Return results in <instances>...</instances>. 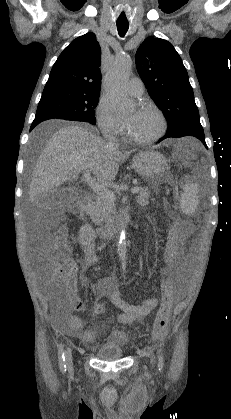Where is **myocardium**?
I'll return each instance as SVG.
<instances>
[{
  "mask_svg": "<svg viewBox=\"0 0 231 419\" xmlns=\"http://www.w3.org/2000/svg\"><path fill=\"white\" fill-rule=\"evenodd\" d=\"M140 109L150 110V111H153L154 113H156V115L158 116V118L160 120V129L152 137L139 138V137L134 136L130 132L129 127L127 126V137L129 138V140H131L132 142H134L136 144H140V145L152 144V143L156 142L157 140H159L164 135V133L166 132V129H167L166 118H165L163 112L157 106H155L154 104H150V103L141 104Z\"/></svg>",
  "mask_w": 231,
  "mask_h": 419,
  "instance_id": "myocardium-1",
  "label": "myocardium"
}]
</instances>
